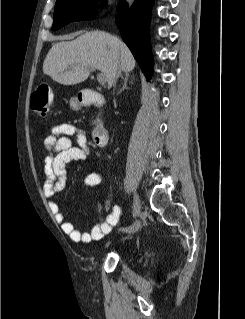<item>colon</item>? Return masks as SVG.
I'll list each match as a JSON object with an SVG mask.
<instances>
[{
    "label": "colon",
    "instance_id": "5ec220e1",
    "mask_svg": "<svg viewBox=\"0 0 245 319\" xmlns=\"http://www.w3.org/2000/svg\"><path fill=\"white\" fill-rule=\"evenodd\" d=\"M53 100V93L47 84L39 85L31 97V111L36 117L48 115Z\"/></svg>",
    "mask_w": 245,
    "mask_h": 319
}]
</instances>
